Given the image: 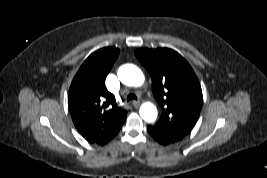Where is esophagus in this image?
I'll list each match as a JSON object with an SVG mask.
<instances>
[{"mask_svg": "<svg viewBox=\"0 0 267 178\" xmlns=\"http://www.w3.org/2000/svg\"><path fill=\"white\" fill-rule=\"evenodd\" d=\"M141 103H142L141 100L133 101V102H132V105H133L135 108H138V107L141 105Z\"/></svg>", "mask_w": 267, "mask_h": 178, "instance_id": "esophagus-1", "label": "esophagus"}]
</instances>
